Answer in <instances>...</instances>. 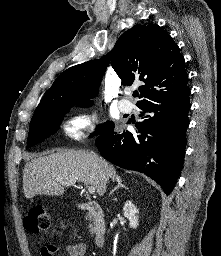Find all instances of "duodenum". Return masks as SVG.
<instances>
[{
	"label": "duodenum",
	"instance_id": "410a0bca",
	"mask_svg": "<svg viewBox=\"0 0 221 256\" xmlns=\"http://www.w3.org/2000/svg\"><path fill=\"white\" fill-rule=\"evenodd\" d=\"M81 210L87 211L92 221V235L95 244L102 247L105 242L106 222L101 206L97 202H84L79 204Z\"/></svg>",
	"mask_w": 221,
	"mask_h": 256
}]
</instances>
